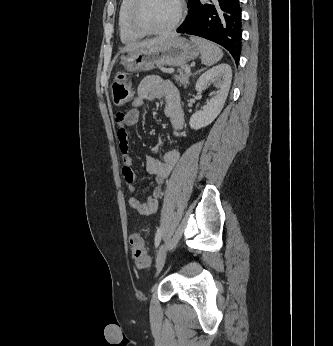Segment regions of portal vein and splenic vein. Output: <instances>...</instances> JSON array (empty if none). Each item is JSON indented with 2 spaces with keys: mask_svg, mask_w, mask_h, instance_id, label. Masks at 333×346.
Returning a JSON list of instances; mask_svg holds the SVG:
<instances>
[{
  "mask_svg": "<svg viewBox=\"0 0 333 346\" xmlns=\"http://www.w3.org/2000/svg\"><path fill=\"white\" fill-rule=\"evenodd\" d=\"M185 72H186V73H190V67H186V68H185Z\"/></svg>",
  "mask_w": 333,
  "mask_h": 346,
  "instance_id": "18ae733b",
  "label": "portal vein and splenic vein"
}]
</instances>
